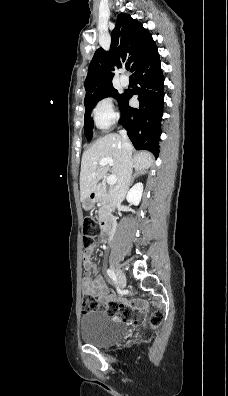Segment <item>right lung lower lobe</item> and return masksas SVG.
Listing matches in <instances>:
<instances>
[{
  "label": "right lung lower lobe",
  "instance_id": "right-lung-lower-lobe-1",
  "mask_svg": "<svg viewBox=\"0 0 228 396\" xmlns=\"http://www.w3.org/2000/svg\"><path fill=\"white\" fill-rule=\"evenodd\" d=\"M139 86L125 91L120 102L121 124L137 150H148L156 157L161 135L160 121L163 114L164 77L158 49L155 46L143 63L134 71ZM137 94L139 107L129 106V99Z\"/></svg>",
  "mask_w": 228,
  "mask_h": 396
}]
</instances>
